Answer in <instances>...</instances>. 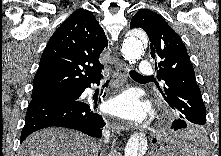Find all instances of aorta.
Masks as SVG:
<instances>
[{
	"label": "aorta",
	"mask_w": 221,
	"mask_h": 156,
	"mask_svg": "<svg viewBox=\"0 0 221 156\" xmlns=\"http://www.w3.org/2000/svg\"><path fill=\"white\" fill-rule=\"evenodd\" d=\"M146 42L147 36L143 31H129L122 44L121 51L124 59L130 64L135 63L142 56ZM146 150L147 139L138 134H134L129 138L126 144L124 156H143Z\"/></svg>",
	"instance_id": "762f6f07"
}]
</instances>
